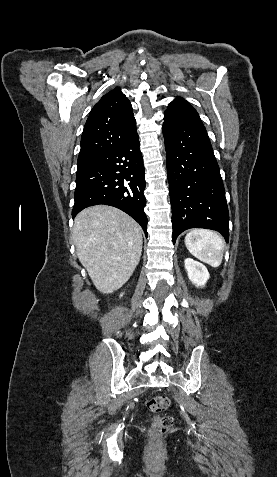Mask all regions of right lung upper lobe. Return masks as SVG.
<instances>
[{
	"label": "right lung upper lobe",
	"instance_id": "1",
	"mask_svg": "<svg viewBox=\"0 0 277 477\" xmlns=\"http://www.w3.org/2000/svg\"><path fill=\"white\" fill-rule=\"evenodd\" d=\"M135 132L136 121L131 103L116 87L91 110L82 133L77 164L116 147Z\"/></svg>",
	"mask_w": 277,
	"mask_h": 477
}]
</instances>
